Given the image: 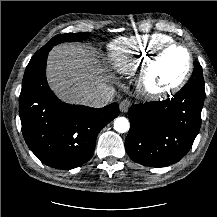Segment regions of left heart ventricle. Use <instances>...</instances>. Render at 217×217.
Here are the masks:
<instances>
[{
  "label": "left heart ventricle",
  "instance_id": "left-heart-ventricle-1",
  "mask_svg": "<svg viewBox=\"0 0 217 217\" xmlns=\"http://www.w3.org/2000/svg\"><path fill=\"white\" fill-rule=\"evenodd\" d=\"M187 54L180 49L168 51L154 68L150 81L154 88L164 89L172 85L185 71Z\"/></svg>",
  "mask_w": 217,
  "mask_h": 217
}]
</instances>
